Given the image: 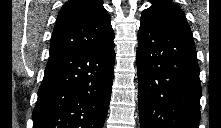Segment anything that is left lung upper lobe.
Here are the masks:
<instances>
[{"label": "left lung upper lobe", "mask_w": 221, "mask_h": 128, "mask_svg": "<svg viewBox=\"0 0 221 128\" xmlns=\"http://www.w3.org/2000/svg\"><path fill=\"white\" fill-rule=\"evenodd\" d=\"M152 6L142 12L141 19L156 21L191 38L192 32L182 10L168 0H153Z\"/></svg>", "instance_id": "obj_1"}]
</instances>
